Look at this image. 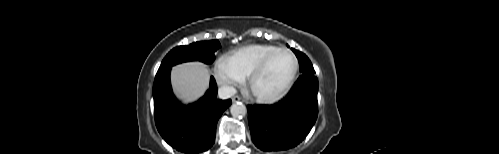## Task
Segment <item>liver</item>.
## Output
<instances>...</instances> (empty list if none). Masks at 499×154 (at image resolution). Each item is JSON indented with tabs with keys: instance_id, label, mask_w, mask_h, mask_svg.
I'll return each instance as SVG.
<instances>
[{
	"instance_id": "6515ba94",
	"label": "liver",
	"mask_w": 499,
	"mask_h": 154,
	"mask_svg": "<svg viewBox=\"0 0 499 154\" xmlns=\"http://www.w3.org/2000/svg\"><path fill=\"white\" fill-rule=\"evenodd\" d=\"M209 69L201 62H187L172 68L174 92L187 104L201 97L209 86Z\"/></svg>"
}]
</instances>
